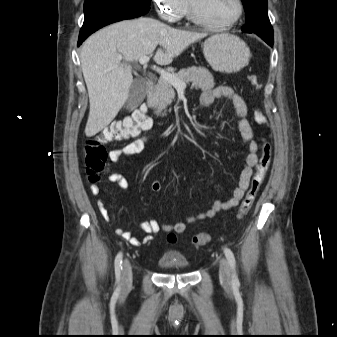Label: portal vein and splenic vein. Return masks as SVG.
<instances>
[{"label": "portal vein and splenic vein", "mask_w": 337, "mask_h": 337, "mask_svg": "<svg viewBox=\"0 0 337 337\" xmlns=\"http://www.w3.org/2000/svg\"><path fill=\"white\" fill-rule=\"evenodd\" d=\"M121 59L122 58L120 57V60ZM149 59H150L149 56H142L139 58V62L140 64L145 66L149 62ZM153 69L157 71L162 78H164L166 81L172 84L178 92H183L185 90L186 84L183 81L179 80L177 77H175L173 74L156 66H153Z\"/></svg>", "instance_id": "18ae733b"}]
</instances>
